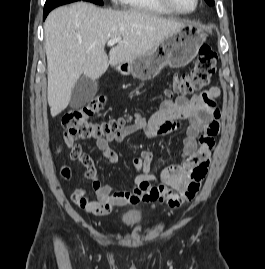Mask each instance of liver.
<instances>
[{
  "instance_id": "6515ba94",
  "label": "liver",
  "mask_w": 265,
  "mask_h": 269,
  "mask_svg": "<svg viewBox=\"0 0 265 269\" xmlns=\"http://www.w3.org/2000/svg\"><path fill=\"white\" fill-rule=\"evenodd\" d=\"M185 25L148 12L101 9L86 2L54 9L44 24L51 116L68 106L81 75L96 80L108 65L115 67L150 52ZM113 38L121 41L108 58L105 44Z\"/></svg>"
}]
</instances>
